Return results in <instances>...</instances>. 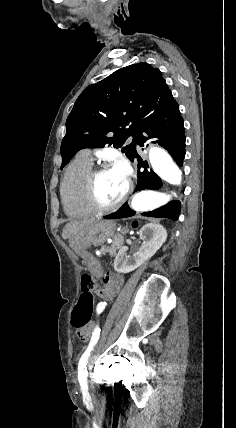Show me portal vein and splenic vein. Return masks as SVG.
<instances>
[{
  "mask_svg": "<svg viewBox=\"0 0 236 428\" xmlns=\"http://www.w3.org/2000/svg\"><path fill=\"white\" fill-rule=\"evenodd\" d=\"M108 242H112V240H108Z\"/></svg>",
  "mask_w": 236,
  "mask_h": 428,
  "instance_id": "obj_1",
  "label": "portal vein and splenic vein"
}]
</instances>
